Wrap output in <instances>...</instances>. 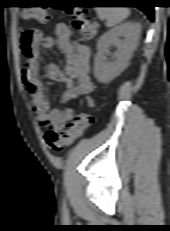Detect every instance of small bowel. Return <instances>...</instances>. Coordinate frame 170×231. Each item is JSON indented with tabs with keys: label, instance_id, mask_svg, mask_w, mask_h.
Here are the masks:
<instances>
[{
	"label": "small bowel",
	"instance_id": "small-bowel-1",
	"mask_svg": "<svg viewBox=\"0 0 170 231\" xmlns=\"http://www.w3.org/2000/svg\"><path fill=\"white\" fill-rule=\"evenodd\" d=\"M56 37L44 36L38 30H27L21 38V49L26 58L22 71V79L26 90L32 98L33 109L42 127L50 126L53 131L60 132L73 117V110L52 108L50 92L39 78L40 50L57 45L65 55V67L51 64L47 69L49 79L60 82L66 87L62 102L83 97L88 107L93 106L91 93L94 84L90 78V48L72 39L71 28L64 23L54 27Z\"/></svg>",
	"mask_w": 170,
	"mask_h": 231
}]
</instances>
